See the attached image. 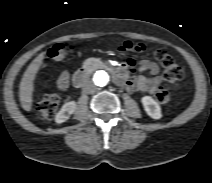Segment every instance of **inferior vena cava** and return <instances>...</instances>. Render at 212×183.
<instances>
[{
    "instance_id": "obj_1",
    "label": "inferior vena cava",
    "mask_w": 212,
    "mask_h": 183,
    "mask_svg": "<svg viewBox=\"0 0 212 183\" xmlns=\"http://www.w3.org/2000/svg\"><path fill=\"white\" fill-rule=\"evenodd\" d=\"M97 87L92 82H87L83 86V91L87 94L94 93L96 91Z\"/></svg>"
}]
</instances>
